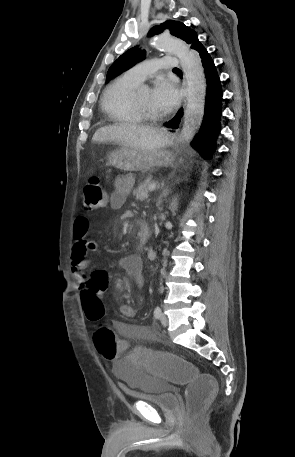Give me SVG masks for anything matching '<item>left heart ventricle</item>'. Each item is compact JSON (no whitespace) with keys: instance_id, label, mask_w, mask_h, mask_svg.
I'll list each match as a JSON object with an SVG mask.
<instances>
[{"instance_id":"b2bd125f","label":"left heart ventricle","mask_w":295,"mask_h":457,"mask_svg":"<svg viewBox=\"0 0 295 457\" xmlns=\"http://www.w3.org/2000/svg\"><path fill=\"white\" fill-rule=\"evenodd\" d=\"M137 100L142 106H144L148 110L157 112V113L159 112V110L153 104L150 90L143 89V90L138 91Z\"/></svg>"}]
</instances>
